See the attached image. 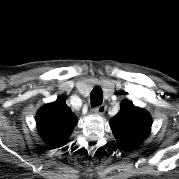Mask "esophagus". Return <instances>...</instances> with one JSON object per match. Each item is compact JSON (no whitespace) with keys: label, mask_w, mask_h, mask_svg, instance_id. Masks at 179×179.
Returning <instances> with one entry per match:
<instances>
[{"label":"esophagus","mask_w":179,"mask_h":179,"mask_svg":"<svg viewBox=\"0 0 179 179\" xmlns=\"http://www.w3.org/2000/svg\"><path fill=\"white\" fill-rule=\"evenodd\" d=\"M105 111H106V106L104 104L99 105L92 109V113L98 114V115H103Z\"/></svg>","instance_id":"34e87169"}]
</instances>
